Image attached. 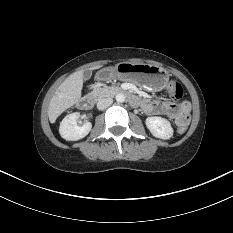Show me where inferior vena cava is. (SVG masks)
<instances>
[{
  "label": "inferior vena cava",
  "instance_id": "1",
  "mask_svg": "<svg viewBox=\"0 0 233 233\" xmlns=\"http://www.w3.org/2000/svg\"><path fill=\"white\" fill-rule=\"evenodd\" d=\"M112 103H113L112 98H102V99H99V101L97 102V108L99 110H104L107 107H109Z\"/></svg>",
  "mask_w": 233,
  "mask_h": 233
}]
</instances>
